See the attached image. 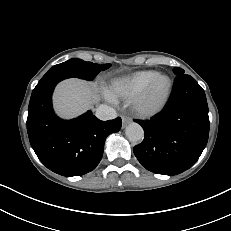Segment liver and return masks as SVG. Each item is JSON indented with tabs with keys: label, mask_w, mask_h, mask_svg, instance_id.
I'll use <instances>...</instances> for the list:
<instances>
[{
	"label": "liver",
	"mask_w": 231,
	"mask_h": 231,
	"mask_svg": "<svg viewBox=\"0 0 231 231\" xmlns=\"http://www.w3.org/2000/svg\"><path fill=\"white\" fill-rule=\"evenodd\" d=\"M95 86L80 79H68L61 82L54 93V108L63 118H73L85 112L91 106ZM99 97L96 95V100Z\"/></svg>",
	"instance_id": "obj_1"
}]
</instances>
